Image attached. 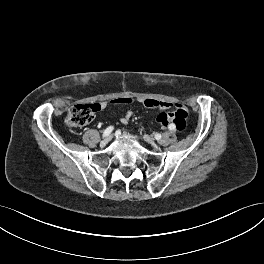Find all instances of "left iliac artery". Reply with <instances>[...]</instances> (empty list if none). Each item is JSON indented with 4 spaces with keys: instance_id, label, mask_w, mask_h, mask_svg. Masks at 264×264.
<instances>
[{
    "instance_id": "obj_1",
    "label": "left iliac artery",
    "mask_w": 264,
    "mask_h": 264,
    "mask_svg": "<svg viewBox=\"0 0 264 264\" xmlns=\"http://www.w3.org/2000/svg\"><path fill=\"white\" fill-rule=\"evenodd\" d=\"M169 129H170V130H174V129H175L174 125L171 124V125L169 126Z\"/></svg>"
}]
</instances>
